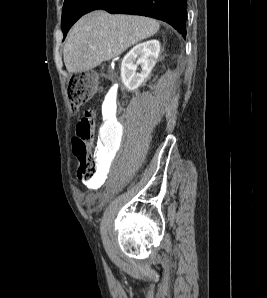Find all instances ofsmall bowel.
Listing matches in <instances>:
<instances>
[{"mask_svg": "<svg viewBox=\"0 0 267 298\" xmlns=\"http://www.w3.org/2000/svg\"><path fill=\"white\" fill-rule=\"evenodd\" d=\"M104 146H106V143L103 141L102 142V147L104 148ZM77 198H78L79 202L82 205L91 207L93 205V203L95 202L97 197L93 193L84 194V193L78 192Z\"/></svg>", "mask_w": 267, "mask_h": 298, "instance_id": "c3829d8e", "label": "small bowel"}]
</instances>
